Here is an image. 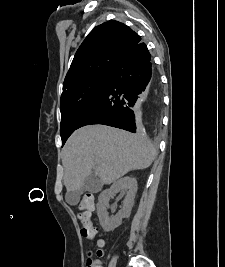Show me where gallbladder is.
<instances>
[{"mask_svg":"<svg viewBox=\"0 0 225 267\" xmlns=\"http://www.w3.org/2000/svg\"><path fill=\"white\" fill-rule=\"evenodd\" d=\"M101 188L102 182L95 176L94 173H91L84 179L83 185L79 190L67 192L65 198L70 205H76L78 204L80 195L83 192L96 193L99 192Z\"/></svg>","mask_w":225,"mask_h":267,"instance_id":"gallbladder-1","label":"gallbladder"}]
</instances>
